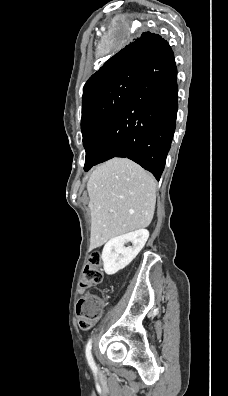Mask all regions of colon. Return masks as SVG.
<instances>
[{
	"mask_svg": "<svg viewBox=\"0 0 228 396\" xmlns=\"http://www.w3.org/2000/svg\"><path fill=\"white\" fill-rule=\"evenodd\" d=\"M102 259L98 252H94L89 257L84 266L80 278V289L85 290L101 282ZM105 305V298L102 295L87 293L77 303V317L79 325L83 329H88L99 319Z\"/></svg>",
	"mask_w": 228,
	"mask_h": 396,
	"instance_id": "obj_1",
	"label": "colon"
}]
</instances>
